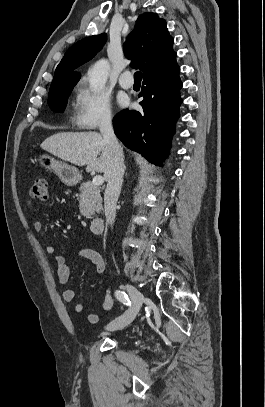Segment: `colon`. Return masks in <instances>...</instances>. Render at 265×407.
<instances>
[{
	"label": "colon",
	"instance_id": "1",
	"mask_svg": "<svg viewBox=\"0 0 265 407\" xmlns=\"http://www.w3.org/2000/svg\"><path fill=\"white\" fill-rule=\"evenodd\" d=\"M30 196L39 201H46L48 198V185L47 180L43 177L37 178L31 189H30Z\"/></svg>",
	"mask_w": 265,
	"mask_h": 407
}]
</instances>
